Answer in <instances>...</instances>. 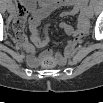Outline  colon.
<instances>
[{
    "label": "colon",
    "instance_id": "obj_1",
    "mask_svg": "<svg viewBox=\"0 0 103 103\" xmlns=\"http://www.w3.org/2000/svg\"><path fill=\"white\" fill-rule=\"evenodd\" d=\"M17 24L23 25L24 24V19H18ZM55 64V61L52 57H47L44 59L42 66L44 68H50Z\"/></svg>",
    "mask_w": 103,
    "mask_h": 103
}]
</instances>
